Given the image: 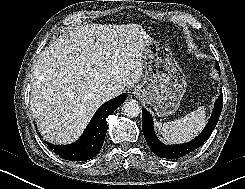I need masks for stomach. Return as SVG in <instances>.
<instances>
[{
	"label": "stomach",
	"instance_id": "1",
	"mask_svg": "<svg viewBox=\"0 0 245 189\" xmlns=\"http://www.w3.org/2000/svg\"><path fill=\"white\" fill-rule=\"evenodd\" d=\"M144 75L135 93L151 105L160 117L176 112L186 92L187 82L170 47L158 42L143 49Z\"/></svg>",
	"mask_w": 245,
	"mask_h": 189
}]
</instances>
